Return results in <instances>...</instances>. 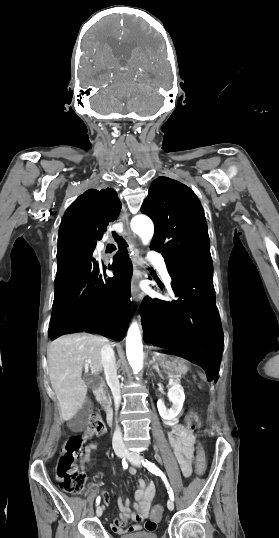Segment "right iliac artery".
Segmentation results:
<instances>
[{"instance_id":"1","label":"right iliac artery","mask_w":279,"mask_h":538,"mask_svg":"<svg viewBox=\"0 0 279 538\" xmlns=\"http://www.w3.org/2000/svg\"><path fill=\"white\" fill-rule=\"evenodd\" d=\"M122 466H123L124 469H126L128 467V464H127L125 458L122 460ZM99 503H100V497H97L96 504L99 505Z\"/></svg>"}]
</instances>
